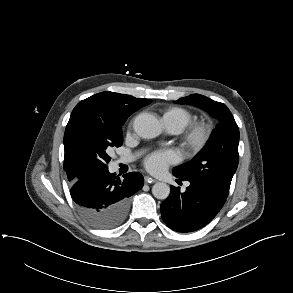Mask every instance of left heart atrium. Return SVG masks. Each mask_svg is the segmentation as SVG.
I'll list each match as a JSON object with an SVG mask.
<instances>
[{
  "mask_svg": "<svg viewBox=\"0 0 293 293\" xmlns=\"http://www.w3.org/2000/svg\"><path fill=\"white\" fill-rule=\"evenodd\" d=\"M176 154L171 150L157 151L151 154L145 161L146 169L155 174H162L170 164L176 161Z\"/></svg>",
  "mask_w": 293,
  "mask_h": 293,
  "instance_id": "obj_1",
  "label": "left heart atrium"
}]
</instances>
